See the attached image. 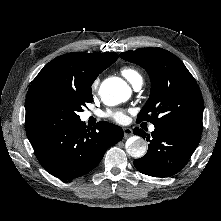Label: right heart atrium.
<instances>
[{
	"mask_svg": "<svg viewBox=\"0 0 221 221\" xmlns=\"http://www.w3.org/2000/svg\"><path fill=\"white\" fill-rule=\"evenodd\" d=\"M98 83H99V80H98V79H95V80L92 82V85H91L92 90H95V89L97 88Z\"/></svg>",
	"mask_w": 221,
	"mask_h": 221,
	"instance_id": "1",
	"label": "right heart atrium"
}]
</instances>
